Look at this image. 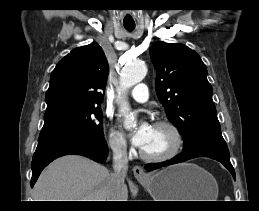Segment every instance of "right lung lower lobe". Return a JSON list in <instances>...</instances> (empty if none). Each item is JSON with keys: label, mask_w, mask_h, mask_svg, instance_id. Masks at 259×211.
Listing matches in <instances>:
<instances>
[{"label": "right lung lower lobe", "mask_w": 259, "mask_h": 211, "mask_svg": "<svg viewBox=\"0 0 259 211\" xmlns=\"http://www.w3.org/2000/svg\"><path fill=\"white\" fill-rule=\"evenodd\" d=\"M78 154L97 162H103L108 155L104 136H92L80 133H53L40 135L38 146L31 163V187L34 186L41 171L54 159Z\"/></svg>", "instance_id": "98d812e1"}]
</instances>
